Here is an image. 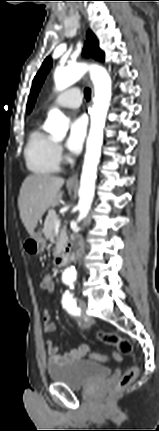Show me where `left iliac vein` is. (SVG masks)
<instances>
[{
    "label": "left iliac vein",
    "instance_id": "4c4485c4",
    "mask_svg": "<svg viewBox=\"0 0 159 431\" xmlns=\"http://www.w3.org/2000/svg\"><path fill=\"white\" fill-rule=\"evenodd\" d=\"M78 305H79V307L81 309L82 315L86 316V313H85L86 312V303H85V301L84 300H79Z\"/></svg>",
    "mask_w": 159,
    "mask_h": 431
}]
</instances>
